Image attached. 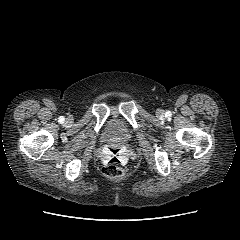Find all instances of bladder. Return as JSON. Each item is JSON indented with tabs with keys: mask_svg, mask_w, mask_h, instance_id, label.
Masks as SVG:
<instances>
[{
	"mask_svg": "<svg viewBox=\"0 0 240 240\" xmlns=\"http://www.w3.org/2000/svg\"><path fill=\"white\" fill-rule=\"evenodd\" d=\"M104 136L111 141L125 142L131 138V130L121 118H110L104 128Z\"/></svg>",
	"mask_w": 240,
	"mask_h": 240,
	"instance_id": "1",
	"label": "bladder"
}]
</instances>
